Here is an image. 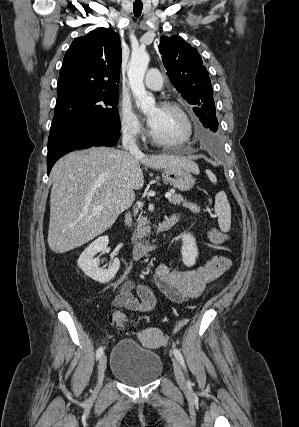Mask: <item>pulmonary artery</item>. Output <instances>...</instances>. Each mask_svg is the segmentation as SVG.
<instances>
[{"label": "pulmonary artery", "instance_id": "obj_1", "mask_svg": "<svg viewBox=\"0 0 299 427\" xmlns=\"http://www.w3.org/2000/svg\"><path fill=\"white\" fill-rule=\"evenodd\" d=\"M147 88L151 90H159L163 86L162 75L157 69H149L144 81Z\"/></svg>", "mask_w": 299, "mask_h": 427}]
</instances>
